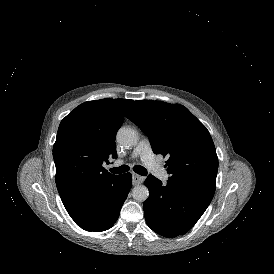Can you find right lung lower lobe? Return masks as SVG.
<instances>
[{"label": "right lung lower lobe", "mask_w": 274, "mask_h": 274, "mask_svg": "<svg viewBox=\"0 0 274 274\" xmlns=\"http://www.w3.org/2000/svg\"><path fill=\"white\" fill-rule=\"evenodd\" d=\"M132 186L131 174L118 175L100 186L85 202L67 209L71 218L87 231H104L117 221Z\"/></svg>", "instance_id": "right-lung-lower-lobe-1"}]
</instances>
